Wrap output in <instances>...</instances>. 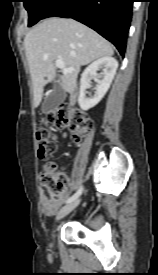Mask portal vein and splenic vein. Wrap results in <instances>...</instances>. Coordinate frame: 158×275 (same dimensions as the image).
I'll return each instance as SVG.
<instances>
[{
  "instance_id": "portal-vein-and-splenic-vein-1",
  "label": "portal vein and splenic vein",
  "mask_w": 158,
  "mask_h": 275,
  "mask_svg": "<svg viewBox=\"0 0 158 275\" xmlns=\"http://www.w3.org/2000/svg\"><path fill=\"white\" fill-rule=\"evenodd\" d=\"M55 65L57 68L61 69L64 73L71 72L72 68H66L64 62L60 59L55 61Z\"/></svg>"
}]
</instances>
